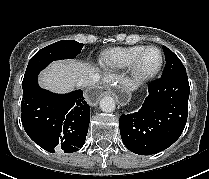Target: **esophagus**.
Returning a JSON list of instances; mask_svg holds the SVG:
<instances>
[{"instance_id":"1","label":"esophagus","mask_w":209,"mask_h":179,"mask_svg":"<svg viewBox=\"0 0 209 179\" xmlns=\"http://www.w3.org/2000/svg\"><path fill=\"white\" fill-rule=\"evenodd\" d=\"M104 93L113 95L119 105H124L127 102V96L123 92V89L115 83L110 82L100 83L88 90L86 92V102L89 105H94L97 102V98Z\"/></svg>"}]
</instances>
